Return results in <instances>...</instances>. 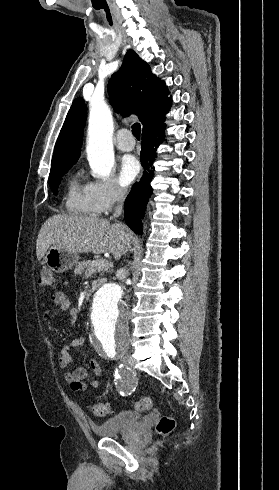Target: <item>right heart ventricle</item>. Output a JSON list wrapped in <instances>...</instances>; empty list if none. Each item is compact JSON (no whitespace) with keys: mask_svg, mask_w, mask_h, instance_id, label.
I'll list each match as a JSON object with an SVG mask.
<instances>
[{"mask_svg":"<svg viewBox=\"0 0 279 490\" xmlns=\"http://www.w3.org/2000/svg\"><path fill=\"white\" fill-rule=\"evenodd\" d=\"M67 206L70 212L83 216H93L90 210L85 188L82 189L75 182H72L69 187V199Z\"/></svg>","mask_w":279,"mask_h":490,"instance_id":"obj_1","label":"right heart ventricle"}]
</instances>
